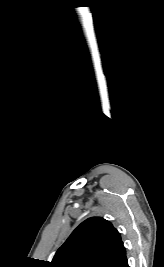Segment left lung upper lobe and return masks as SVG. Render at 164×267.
Instances as JSON below:
<instances>
[{"mask_svg": "<svg viewBox=\"0 0 164 267\" xmlns=\"http://www.w3.org/2000/svg\"><path fill=\"white\" fill-rule=\"evenodd\" d=\"M119 232L101 218L82 222L58 249L50 267H105L122 246Z\"/></svg>", "mask_w": 164, "mask_h": 267, "instance_id": "1", "label": "left lung upper lobe"}]
</instances>
